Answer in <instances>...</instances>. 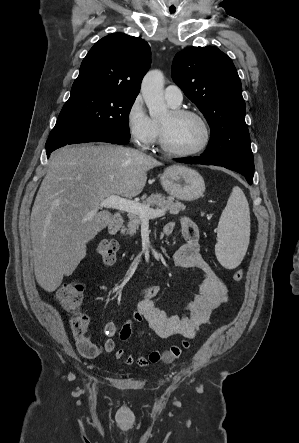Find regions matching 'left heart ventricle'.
I'll return each instance as SVG.
<instances>
[{"mask_svg":"<svg viewBox=\"0 0 299 443\" xmlns=\"http://www.w3.org/2000/svg\"><path fill=\"white\" fill-rule=\"evenodd\" d=\"M160 124L165 131L166 144L173 150H193L204 138L202 124L192 116L176 117L169 112L160 120Z\"/></svg>","mask_w":299,"mask_h":443,"instance_id":"obj_1","label":"left heart ventricle"}]
</instances>
